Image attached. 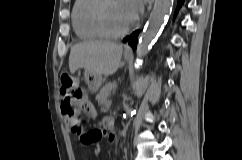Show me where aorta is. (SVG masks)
<instances>
[{"label":"aorta","instance_id":"1","mask_svg":"<svg viewBox=\"0 0 242 160\" xmlns=\"http://www.w3.org/2000/svg\"><path fill=\"white\" fill-rule=\"evenodd\" d=\"M173 5V0H155L153 10L150 17L144 27L142 34L138 41V59L136 66L139 67L142 60L140 57L147 54L151 44L153 43L155 37L157 36L165 17L171 10Z\"/></svg>","mask_w":242,"mask_h":160}]
</instances>
